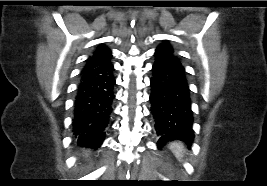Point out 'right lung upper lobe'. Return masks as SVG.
<instances>
[{
    "label": "right lung upper lobe",
    "instance_id": "right-lung-upper-lobe-1",
    "mask_svg": "<svg viewBox=\"0 0 267 186\" xmlns=\"http://www.w3.org/2000/svg\"><path fill=\"white\" fill-rule=\"evenodd\" d=\"M111 57V50L104 47V45H99L93 54L87 59L85 68L101 65L110 61Z\"/></svg>",
    "mask_w": 267,
    "mask_h": 186
}]
</instances>
